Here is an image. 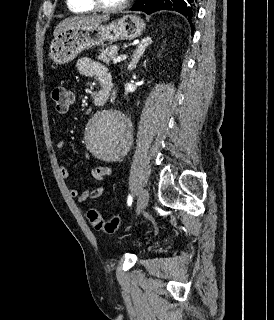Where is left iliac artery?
Wrapping results in <instances>:
<instances>
[{
  "mask_svg": "<svg viewBox=\"0 0 274 320\" xmlns=\"http://www.w3.org/2000/svg\"><path fill=\"white\" fill-rule=\"evenodd\" d=\"M132 201H133L132 196L129 195V196H128V199H127V204H128V206H130V205L132 204Z\"/></svg>",
  "mask_w": 274,
  "mask_h": 320,
  "instance_id": "obj_1",
  "label": "left iliac artery"
}]
</instances>
